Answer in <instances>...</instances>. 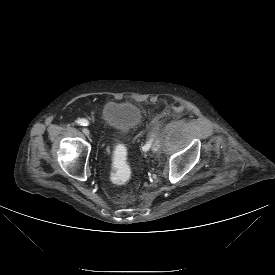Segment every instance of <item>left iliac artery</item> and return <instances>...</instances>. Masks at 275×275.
<instances>
[{
    "label": "left iliac artery",
    "instance_id": "left-iliac-artery-1",
    "mask_svg": "<svg viewBox=\"0 0 275 275\" xmlns=\"http://www.w3.org/2000/svg\"><path fill=\"white\" fill-rule=\"evenodd\" d=\"M154 136H155V134L152 135V137H154ZM152 141H153V138L150 139V141L148 142V144H146V145L144 146V150H148V148L150 147Z\"/></svg>",
    "mask_w": 275,
    "mask_h": 275
}]
</instances>
